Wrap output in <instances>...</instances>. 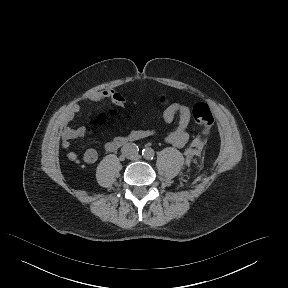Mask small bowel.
Returning <instances> with one entry per match:
<instances>
[{"label":"small bowel","mask_w":288,"mask_h":288,"mask_svg":"<svg viewBox=\"0 0 288 288\" xmlns=\"http://www.w3.org/2000/svg\"><path fill=\"white\" fill-rule=\"evenodd\" d=\"M112 147V146H109ZM97 154L94 150H88L85 154L87 162H94L96 160Z\"/></svg>","instance_id":"1"}]
</instances>
